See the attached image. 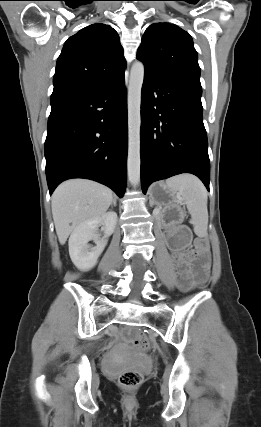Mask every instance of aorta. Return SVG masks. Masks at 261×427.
Masks as SVG:
<instances>
[{"mask_svg": "<svg viewBox=\"0 0 261 427\" xmlns=\"http://www.w3.org/2000/svg\"><path fill=\"white\" fill-rule=\"evenodd\" d=\"M144 80V65L133 63L128 85V178L133 186L140 182V127H141V89Z\"/></svg>", "mask_w": 261, "mask_h": 427, "instance_id": "1", "label": "aorta"}]
</instances>
